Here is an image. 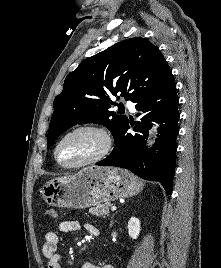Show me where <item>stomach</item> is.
<instances>
[{
	"mask_svg": "<svg viewBox=\"0 0 221 268\" xmlns=\"http://www.w3.org/2000/svg\"><path fill=\"white\" fill-rule=\"evenodd\" d=\"M144 183L130 172L90 166L74 175L48 181L42 197L50 206L83 209L140 193Z\"/></svg>",
	"mask_w": 221,
	"mask_h": 268,
	"instance_id": "obj_1",
	"label": "stomach"
}]
</instances>
